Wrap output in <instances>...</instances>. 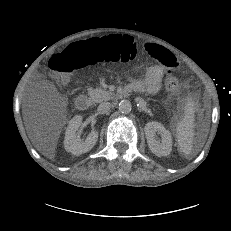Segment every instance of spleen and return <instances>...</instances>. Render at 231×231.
Returning <instances> with one entry per match:
<instances>
[{"label":"spleen","mask_w":231,"mask_h":231,"mask_svg":"<svg viewBox=\"0 0 231 231\" xmlns=\"http://www.w3.org/2000/svg\"><path fill=\"white\" fill-rule=\"evenodd\" d=\"M194 102L190 97L186 99L184 106V116L176 125V139L180 153L185 156L191 154L194 139Z\"/></svg>","instance_id":"1"}]
</instances>
